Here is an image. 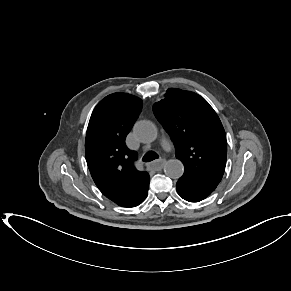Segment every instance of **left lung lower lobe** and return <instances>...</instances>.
Returning a JSON list of instances; mask_svg holds the SVG:
<instances>
[{
  "label": "left lung lower lobe",
  "instance_id": "obj_1",
  "mask_svg": "<svg viewBox=\"0 0 291 291\" xmlns=\"http://www.w3.org/2000/svg\"><path fill=\"white\" fill-rule=\"evenodd\" d=\"M176 190L178 194L186 201L189 202H199L203 199H205L207 196L201 195V194H196L193 192H190L183 188L181 185L176 184Z\"/></svg>",
  "mask_w": 291,
  "mask_h": 291
}]
</instances>
